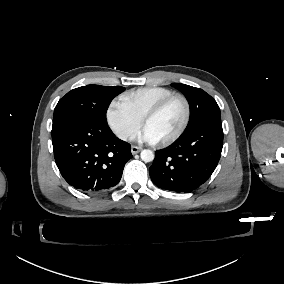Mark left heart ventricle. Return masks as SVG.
Returning a JSON list of instances; mask_svg holds the SVG:
<instances>
[{"instance_id":"1","label":"left heart ventricle","mask_w":284,"mask_h":284,"mask_svg":"<svg viewBox=\"0 0 284 284\" xmlns=\"http://www.w3.org/2000/svg\"><path fill=\"white\" fill-rule=\"evenodd\" d=\"M184 114L183 101L175 99L159 115L144 122L143 127L152 133L157 142H161L178 130Z\"/></svg>"}]
</instances>
